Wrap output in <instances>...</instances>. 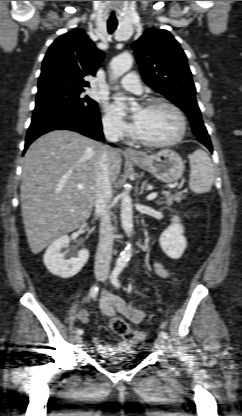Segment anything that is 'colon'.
<instances>
[{
  "mask_svg": "<svg viewBox=\"0 0 242 416\" xmlns=\"http://www.w3.org/2000/svg\"><path fill=\"white\" fill-rule=\"evenodd\" d=\"M110 329L127 342H141L146 338V333L132 330L127 322L118 316L110 320Z\"/></svg>",
  "mask_w": 242,
  "mask_h": 416,
  "instance_id": "obj_1",
  "label": "colon"
}]
</instances>
